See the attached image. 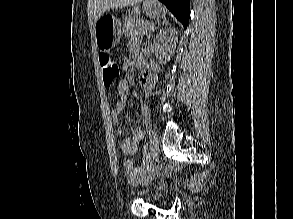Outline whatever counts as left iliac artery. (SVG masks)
I'll return each instance as SVG.
<instances>
[{
    "label": "left iliac artery",
    "instance_id": "44dca946",
    "mask_svg": "<svg viewBox=\"0 0 293 219\" xmlns=\"http://www.w3.org/2000/svg\"><path fill=\"white\" fill-rule=\"evenodd\" d=\"M144 117H145L146 127H149L150 121H151V115H150V109L148 108L147 105H144ZM145 153H146V158H148L151 155V153L147 151Z\"/></svg>",
    "mask_w": 293,
    "mask_h": 219
}]
</instances>
